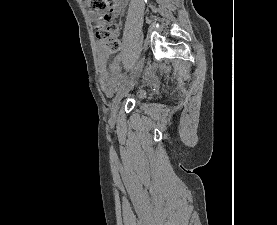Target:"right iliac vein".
Segmentation results:
<instances>
[{"instance_id": "right-iliac-vein-1", "label": "right iliac vein", "mask_w": 277, "mask_h": 225, "mask_svg": "<svg viewBox=\"0 0 277 225\" xmlns=\"http://www.w3.org/2000/svg\"><path fill=\"white\" fill-rule=\"evenodd\" d=\"M143 67V60L140 61L139 65L136 68L135 74L133 79L127 84V86L123 87L115 96L114 100H113V104H112V109H111V114L112 117L115 118L117 111H118V107H119V103L121 101V99L124 97V95H126L136 84L137 79L139 77V74L142 70Z\"/></svg>"}]
</instances>
